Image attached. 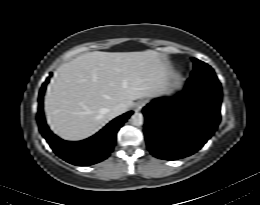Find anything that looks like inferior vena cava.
<instances>
[{
	"label": "inferior vena cava",
	"mask_w": 260,
	"mask_h": 205,
	"mask_svg": "<svg viewBox=\"0 0 260 205\" xmlns=\"http://www.w3.org/2000/svg\"><path fill=\"white\" fill-rule=\"evenodd\" d=\"M127 110H128L127 106L125 104L120 103L112 108L111 113L114 117H116L125 113Z\"/></svg>",
	"instance_id": "inferior-vena-cava-1"
}]
</instances>
